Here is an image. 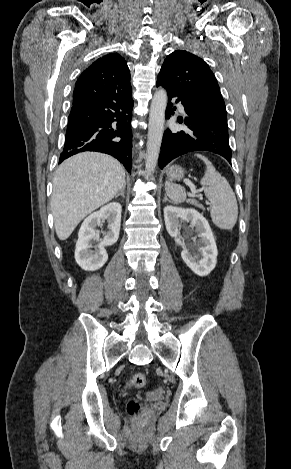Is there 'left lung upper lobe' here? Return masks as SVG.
Segmentation results:
<instances>
[{"mask_svg": "<svg viewBox=\"0 0 291 469\" xmlns=\"http://www.w3.org/2000/svg\"><path fill=\"white\" fill-rule=\"evenodd\" d=\"M158 83L178 95L226 115L225 103L213 72L207 63L184 50L166 57Z\"/></svg>", "mask_w": 291, "mask_h": 469, "instance_id": "5c2ea615", "label": "left lung upper lobe"}]
</instances>
